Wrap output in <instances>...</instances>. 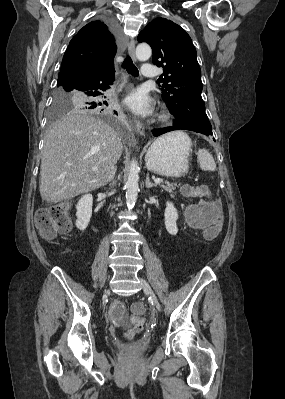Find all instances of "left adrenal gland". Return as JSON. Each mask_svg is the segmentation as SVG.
<instances>
[{"mask_svg":"<svg viewBox=\"0 0 285 399\" xmlns=\"http://www.w3.org/2000/svg\"><path fill=\"white\" fill-rule=\"evenodd\" d=\"M145 184H146V188H148V189L152 188V187H156V185L154 183L150 182L149 174H147V176H146Z\"/></svg>","mask_w":285,"mask_h":399,"instance_id":"a2214340","label":"left adrenal gland"}]
</instances>
